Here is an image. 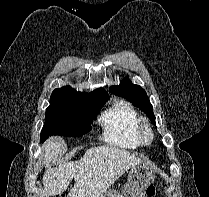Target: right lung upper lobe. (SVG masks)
Segmentation results:
<instances>
[{
	"mask_svg": "<svg viewBox=\"0 0 209 197\" xmlns=\"http://www.w3.org/2000/svg\"><path fill=\"white\" fill-rule=\"evenodd\" d=\"M59 89H73L69 86H65L63 88H59ZM86 95H88L90 98L93 99H108V93L103 89V88H99L96 89L95 91H93L92 93H85Z\"/></svg>",
	"mask_w": 209,
	"mask_h": 197,
	"instance_id": "right-lung-upper-lobe-1",
	"label": "right lung upper lobe"
}]
</instances>
